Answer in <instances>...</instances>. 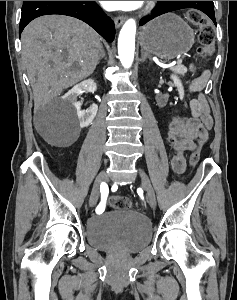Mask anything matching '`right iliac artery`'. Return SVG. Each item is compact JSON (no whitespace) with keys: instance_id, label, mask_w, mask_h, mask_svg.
I'll list each match as a JSON object with an SVG mask.
<instances>
[{"instance_id":"1","label":"right iliac artery","mask_w":237,"mask_h":300,"mask_svg":"<svg viewBox=\"0 0 237 300\" xmlns=\"http://www.w3.org/2000/svg\"><path fill=\"white\" fill-rule=\"evenodd\" d=\"M100 192H101V202L97 206L96 211L105 209V203H106V199H107V196H108V186H107L106 183H102L100 185Z\"/></svg>"}]
</instances>
